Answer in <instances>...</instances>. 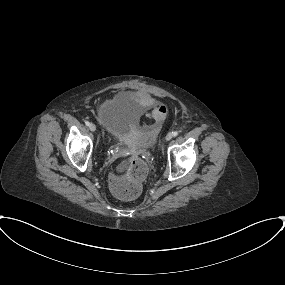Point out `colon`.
I'll return each instance as SVG.
<instances>
[{
  "label": "colon",
  "mask_w": 285,
  "mask_h": 285,
  "mask_svg": "<svg viewBox=\"0 0 285 285\" xmlns=\"http://www.w3.org/2000/svg\"><path fill=\"white\" fill-rule=\"evenodd\" d=\"M146 164L134 159L125 171L111 179L112 193L121 200H133L142 191V183L146 176Z\"/></svg>",
  "instance_id": "colon-1"
}]
</instances>
